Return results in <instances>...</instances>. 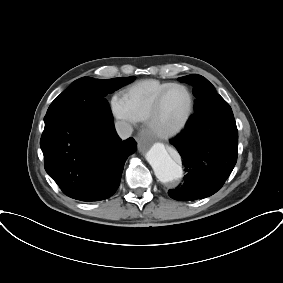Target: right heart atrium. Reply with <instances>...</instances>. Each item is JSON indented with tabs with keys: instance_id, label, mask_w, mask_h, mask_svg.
Listing matches in <instances>:
<instances>
[{
	"instance_id": "obj_1",
	"label": "right heart atrium",
	"mask_w": 283,
	"mask_h": 283,
	"mask_svg": "<svg viewBox=\"0 0 283 283\" xmlns=\"http://www.w3.org/2000/svg\"><path fill=\"white\" fill-rule=\"evenodd\" d=\"M111 110L116 119L124 124V126L130 130L132 129L136 122L132 117L126 103L122 97L115 95L111 100Z\"/></svg>"
}]
</instances>
